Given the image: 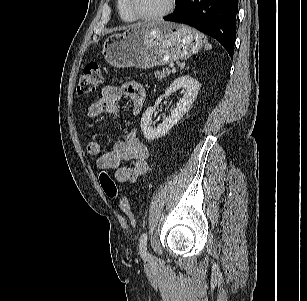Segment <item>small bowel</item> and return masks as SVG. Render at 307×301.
<instances>
[{"label": "small bowel", "mask_w": 307, "mask_h": 301, "mask_svg": "<svg viewBox=\"0 0 307 301\" xmlns=\"http://www.w3.org/2000/svg\"><path fill=\"white\" fill-rule=\"evenodd\" d=\"M127 98L132 105V114H138L144 104L145 89L138 82H127L122 86L108 85L102 89L98 100L87 108V117L96 118L102 114H118V102ZM88 153L97 157L96 165L103 170H114V176L120 184L134 183L148 172V147L141 142L134 131L128 132L126 138L115 143L112 151L103 152L98 140H90Z\"/></svg>", "instance_id": "1"}]
</instances>
